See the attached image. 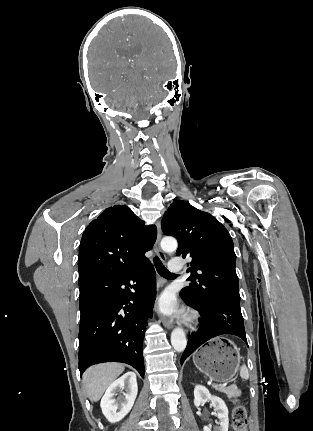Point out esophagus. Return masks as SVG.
Segmentation results:
<instances>
[{
	"label": "esophagus",
	"mask_w": 313,
	"mask_h": 431,
	"mask_svg": "<svg viewBox=\"0 0 313 431\" xmlns=\"http://www.w3.org/2000/svg\"><path fill=\"white\" fill-rule=\"evenodd\" d=\"M156 226H157V238H156V242H155L154 247H155V251H156L158 257L162 261H164L166 259V255L162 251V249L160 248V240H161L162 232H161V225H160L159 221L156 223ZM161 285H162L161 282H159L158 286L161 287ZM160 320L166 328L171 329L173 327V320L172 319L161 316Z\"/></svg>",
	"instance_id": "1"
}]
</instances>
